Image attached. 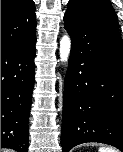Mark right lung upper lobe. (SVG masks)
<instances>
[{"mask_svg":"<svg viewBox=\"0 0 123 152\" xmlns=\"http://www.w3.org/2000/svg\"><path fill=\"white\" fill-rule=\"evenodd\" d=\"M35 33L33 0H1V48L26 41Z\"/></svg>","mask_w":123,"mask_h":152,"instance_id":"obj_1","label":"right lung upper lobe"}]
</instances>
